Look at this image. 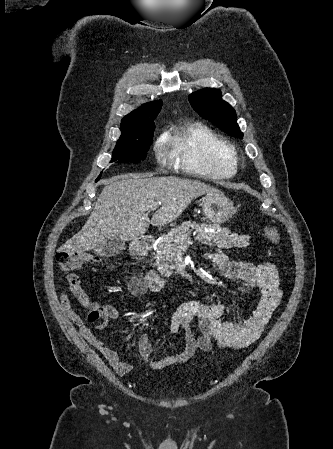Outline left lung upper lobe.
<instances>
[{
  "mask_svg": "<svg viewBox=\"0 0 333 449\" xmlns=\"http://www.w3.org/2000/svg\"><path fill=\"white\" fill-rule=\"evenodd\" d=\"M221 92L214 88H205L189 95V101L198 114L215 123L232 136L243 138L237 124L235 110L221 99Z\"/></svg>",
  "mask_w": 333,
  "mask_h": 449,
  "instance_id": "5c2ea615",
  "label": "left lung upper lobe"
}]
</instances>
